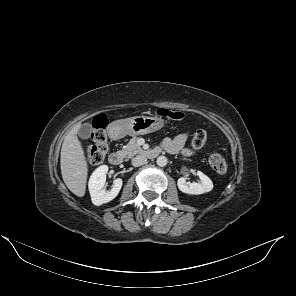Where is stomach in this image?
<instances>
[{"label":"stomach","instance_id":"obj_1","mask_svg":"<svg viewBox=\"0 0 296 296\" xmlns=\"http://www.w3.org/2000/svg\"><path fill=\"white\" fill-rule=\"evenodd\" d=\"M116 132L121 135H144L161 129L164 120L161 117L135 116L127 119L117 120L113 123Z\"/></svg>","mask_w":296,"mask_h":296}]
</instances>
